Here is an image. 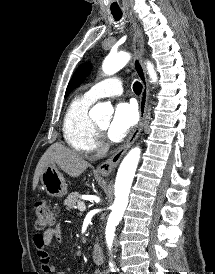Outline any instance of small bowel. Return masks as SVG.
<instances>
[{
    "label": "small bowel",
    "instance_id": "1",
    "mask_svg": "<svg viewBox=\"0 0 215 274\" xmlns=\"http://www.w3.org/2000/svg\"><path fill=\"white\" fill-rule=\"evenodd\" d=\"M52 239H56L58 242L62 240V230L60 225L47 229L44 232L36 233L34 235V245L36 254L39 260L42 271L45 274L53 272V267L50 263L49 254L46 251V247L51 243ZM56 274H65L64 272H57ZM77 274V273H70ZM93 274H104L101 271H95Z\"/></svg>",
    "mask_w": 215,
    "mask_h": 274
}]
</instances>
